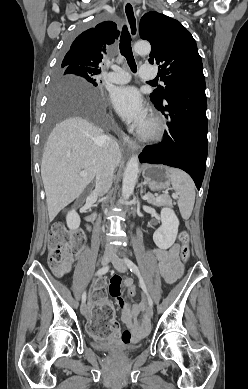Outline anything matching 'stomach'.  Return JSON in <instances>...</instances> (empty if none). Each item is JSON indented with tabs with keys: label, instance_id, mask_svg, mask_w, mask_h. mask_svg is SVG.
<instances>
[{
	"label": "stomach",
	"instance_id": "1",
	"mask_svg": "<svg viewBox=\"0 0 248 389\" xmlns=\"http://www.w3.org/2000/svg\"><path fill=\"white\" fill-rule=\"evenodd\" d=\"M142 175L149 188L153 191L167 189L170 186L168 167L163 165H144Z\"/></svg>",
	"mask_w": 248,
	"mask_h": 389
}]
</instances>
